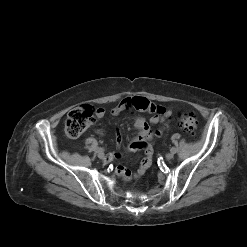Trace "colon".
Returning a JSON list of instances; mask_svg holds the SVG:
<instances>
[{
    "label": "colon",
    "instance_id": "colon-1",
    "mask_svg": "<svg viewBox=\"0 0 247 247\" xmlns=\"http://www.w3.org/2000/svg\"><path fill=\"white\" fill-rule=\"evenodd\" d=\"M95 110L91 106H80L69 112L65 120L64 132L68 138L79 137L93 121ZM179 127L190 136H195L197 117L193 112L180 113L177 117Z\"/></svg>",
    "mask_w": 247,
    "mask_h": 247
}]
</instances>
